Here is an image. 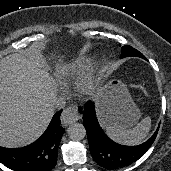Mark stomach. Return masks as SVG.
<instances>
[{
    "instance_id": "1",
    "label": "stomach",
    "mask_w": 171,
    "mask_h": 171,
    "mask_svg": "<svg viewBox=\"0 0 171 171\" xmlns=\"http://www.w3.org/2000/svg\"><path fill=\"white\" fill-rule=\"evenodd\" d=\"M102 115L103 125L127 129L134 126L140 118V110L133 102L126 86L119 80H111L103 89Z\"/></svg>"
}]
</instances>
